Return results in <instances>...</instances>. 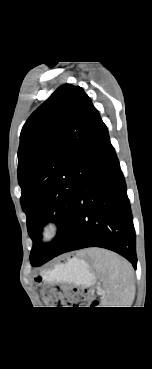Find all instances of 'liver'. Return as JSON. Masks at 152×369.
<instances>
[{
	"mask_svg": "<svg viewBox=\"0 0 152 369\" xmlns=\"http://www.w3.org/2000/svg\"><path fill=\"white\" fill-rule=\"evenodd\" d=\"M91 253H92V249L87 251V254H88L89 256H91Z\"/></svg>",
	"mask_w": 152,
	"mask_h": 369,
	"instance_id": "1",
	"label": "liver"
}]
</instances>
